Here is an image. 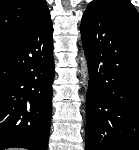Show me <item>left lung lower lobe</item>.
<instances>
[{
	"mask_svg": "<svg viewBox=\"0 0 139 150\" xmlns=\"http://www.w3.org/2000/svg\"><path fill=\"white\" fill-rule=\"evenodd\" d=\"M81 37L89 69L86 150H139V15L130 2L88 6Z\"/></svg>",
	"mask_w": 139,
	"mask_h": 150,
	"instance_id": "1",
	"label": "left lung lower lobe"
}]
</instances>
